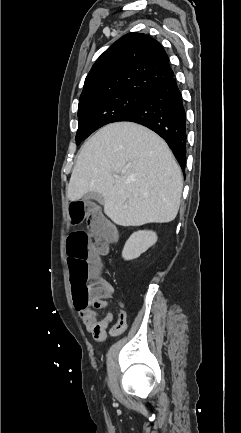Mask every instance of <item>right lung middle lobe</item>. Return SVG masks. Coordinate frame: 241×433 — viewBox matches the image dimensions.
<instances>
[{"label":"right lung middle lobe","mask_w":241,"mask_h":433,"mask_svg":"<svg viewBox=\"0 0 241 433\" xmlns=\"http://www.w3.org/2000/svg\"><path fill=\"white\" fill-rule=\"evenodd\" d=\"M145 96L144 92L125 91L79 103L76 144L98 128L121 121L142 104Z\"/></svg>","instance_id":"dd1d6c3e"}]
</instances>
